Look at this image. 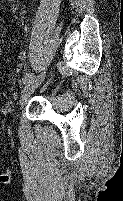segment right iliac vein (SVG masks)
<instances>
[{"label":"right iliac vein","instance_id":"63e3f726","mask_svg":"<svg viewBox=\"0 0 123 201\" xmlns=\"http://www.w3.org/2000/svg\"><path fill=\"white\" fill-rule=\"evenodd\" d=\"M45 76H46V72H43L39 74L38 76L33 77L26 83V85L22 89L20 100H19V105L21 108L26 104L27 100L29 99L31 94L35 91V89L42 83Z\"/></svg>","mask_w":123,"mask_h":201}]
</instances>
